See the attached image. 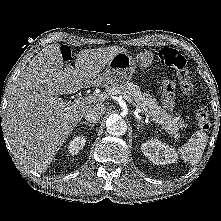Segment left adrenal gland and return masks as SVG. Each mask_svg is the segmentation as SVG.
<instances>
[{
	"mask_svg": "<svg viewBox=\"0 0 221 221\" xmlns=\"http://www.w3.org/2000/svg\"><path fill=\"white\" fill-rule=\"evenodd\" d=\"M137 130L142 129L144 126V122L141 119H137Z\"/></svg>",
	"mask_w": 221,
	"mask_h": 221,
	"instance_id": "left-adrenal-gland-1",
	"label": "left adrenal gland"
}]
</instances>
